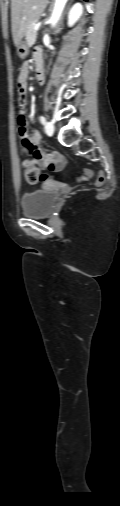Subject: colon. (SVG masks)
I'll return each mask as SVG.
<instances>
[{
    "label": "colon",
    "mask_w": 120,
    "mask_h": 506,
    "mask_svg": "<svg viewBox=\"0 0 120 506\" xmlns=\"http://www.w3.org/2000/svg\"><path fill=\"white\" fill-rule=\"evenodd\" d=\"M17 90L19 93L18 97V126L19 132L22 134H26L27 132V122L25 117V105H26V97H25V89L24 85L21 81L17 83ZM22 153L28 158L23 163L24 173L26 180L31 183H37L38 181H46L49 179L47 174H41L38 167L37 161L41 156L38 149L34 146L29 136L23 135L22 140ZM93 172L90 169H84L80 175V180L85 181L92 177ZM106 181L105 174L100 171L96 180L97 186H102Z\"/></svg>",
    "instance_id": "obj_1"
}]
</instances>
